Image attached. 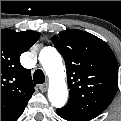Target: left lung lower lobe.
I'll return each mask as SVG.
<instances>
[{"label": "left lung lower lobe", "instance_id": "obj_1", "mask_svg": "<svg viewBox=\"0 0 121 121\" xmlns=\"http://www.w3.org/2000/svg\"><path fill=\"white\" fill-rule=\"evenodd\" d=\"M57 114L60 117H62L63 119L68 120V121H81V120H78V119H75V118H72V117H69V116L63 114L59 109H57Z\"/></svg>", "mask_w": 121, "mask_h": 121}]
</instances>
